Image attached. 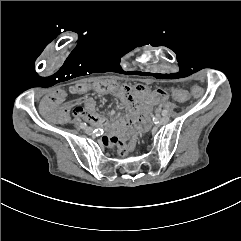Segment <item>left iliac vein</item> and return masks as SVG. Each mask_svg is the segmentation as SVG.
<instances>
[{
  "label": "left iliac vein",
  "mask_w": 241,
  "mask_h": 241,
  "mask_svg": "<svg viewBox=\"0 0 241 241\" xmlns=\"http://www.w3.org/2000/svg\"><path fill=\"white\" fill-rule=\"evenodd\" d=\"M169 121H170V118H169L168 116H163V117L158 118V123H159L160 125H165V124H167Z\"/></svg>",
  "instance_id": "1"
}]
</instances>
